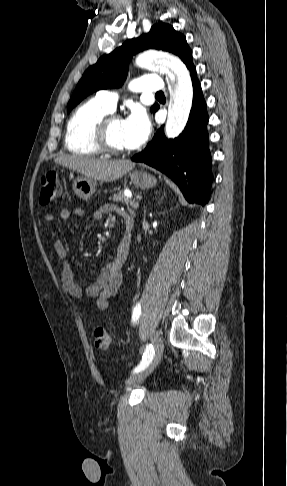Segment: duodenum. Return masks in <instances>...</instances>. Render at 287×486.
Segmentation results:
<instances>
[{"label":"duodenum","instance_id":"obj_1","mask_svg":"<svg viewBox=\"0 0 287 486\" xmlns=\"http://www.w3.org/2000/svg\"><path fill=\"white\" fill-rule=\"evenodd\" d=\"M125 220H126V235L130 237V233L134 227V219L131 216H127Z\"/></svg>","mask_w":287,"mask_h":486}]
</instances>
